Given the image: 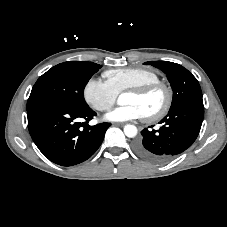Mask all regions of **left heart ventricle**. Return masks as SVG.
Masks as SVG:
<instances>
[{
  "label": "left heart ventricle",
  "instance_id": "1",
  "mask_svg": "<svg viewBox=\"0 0 227 227\" xmlns=\"http://www.w3.org/2000/svg\"><path fill=\"white\" fill-rule=\"evenodd\" d=\"M164 102V94L158 90L149 95L139 97L130 93H126L122 97L123 104H133L138 106L143 115H148L156 112Z\"/></svg>",
  "mask_w": 227,
  "mask_h": 227
}]
</instances>
